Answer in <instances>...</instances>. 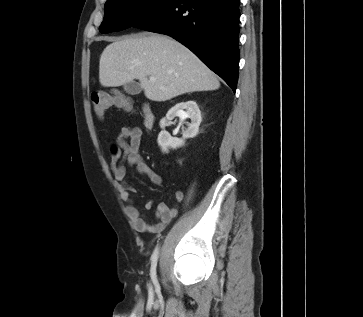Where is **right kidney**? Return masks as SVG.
Here are the masks:
<instances>
[{"label":"right kidney","mask_w":363,"mask_h":317,"mask_svg":"<svg viewBox=\"0 0 363 317\" xmlns=\"http://www.w3.org/2000/svg\"><path fill=\"white\" fill-rule=\"evenodd\" d=\"M175 117L191 119V123L188 124V128L182 133V138L180 139L172 137L164 130L167 121L172 120ZM201 121V112L195 101L181 102L172 107L166 114V117L160 121L162 131L159 133L157 141L162 152L167 153L169 148H179L184 145L185 139L195 137L198 134Z\"/></svg>","instance_id":"1"}]
</instances>
